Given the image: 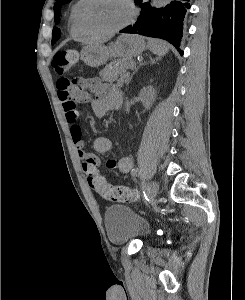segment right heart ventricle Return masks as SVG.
Wrapping results in <instances>:
<instances>
[{
    "mask_svg": "<svg viewBox=\"0 0 245 300\" xmlns=\"http://www.w3.org/2000/svg\"><path fill=\"white\" fill-rule=\"evenodd\" d=\"M83 3V0H76L70 9L69 14V29L70 32L74 35L85 36L87 33L81 28L78 22V11Z\"/></svg>",
    "mask_w": 245,
    "mask_h": 300,
    "instance_id": "right-heart-ventricle-1",
    "label": "right heart ventricle"
}]
</instances>
